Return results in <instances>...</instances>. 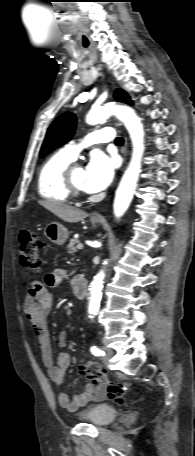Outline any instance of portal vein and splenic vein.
Wrapping results in <instances>:
<instances>
[{
	"mask_svg": "<svg viewBox=\"0 0 195 456\" xmlns=\"http://www.w3.org/2000/svg\"><path fill=\"white\" fill-rule=\"evenodd\" d=\"M77 248H78L79 250L83 249V244L79 243V244L77 245Z\"/></svg>",
	"mask_w": 195,
	"mask_h": 456,
	"instance_id": "obj_1",
	"label": "portal vein and splenic vein"
}]
</instances>
